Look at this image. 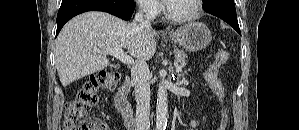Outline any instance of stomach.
I'll use <instances>...</instances> for the list:
<instances>
[{
	"mask_svg": "<svg viewBox=\"0 0 299 130\" xmlns=\"http://www.w3.org/2000/svg\"><path fill=\"white\" fill-rule=\"evenodd\" d=\"M170 38L190 52L201 51L212 39L209 28L202 22H192L170 34Z\"/></svg>",
	"mask_w": 299,
	"mask_h": 130,
	"instance_id": "1",
	"label": "stomach"
}]
</instances>
